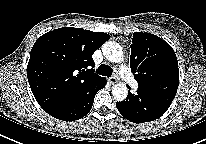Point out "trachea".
<instances>
[{"instance_id": "1", "label": "trachea", "mask_w": 206, "mask_h": 144, "mask_svg": "<svg viewBox=\"0 0 206 144\" xmlns=\"http://www.w3.org/2000/svg\"><path fill=\"white\" fill-rule=\"evenodd\" d=\"M112 72H113L112 68L105 64H101L96 71L97 74L106 76V77H111Z\"/></svg>"}]
</instances>
